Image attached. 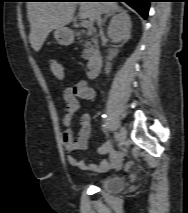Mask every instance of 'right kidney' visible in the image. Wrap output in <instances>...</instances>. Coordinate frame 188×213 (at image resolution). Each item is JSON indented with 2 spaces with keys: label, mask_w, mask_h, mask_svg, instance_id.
Returning a JSON list of instances; mask_svg holds the SVG:
<instances>
[{
  "label": "right kidney",
  "mask_w": 188,
  "mask_h": 213,
  "mask_svg": "<svg viewBox=\"0 0 188 213\" xmlns=\"http://www.w3.org/2000/svg\"><path fill=\"white\" fill-rule=\"evenodd\" d=\"M131 19L127 11L115 15L108 26V36L115 43L127 42L131 36Z\"/></svg>",
  "instance_id": "ca27d5eb"
}]
</instances>
